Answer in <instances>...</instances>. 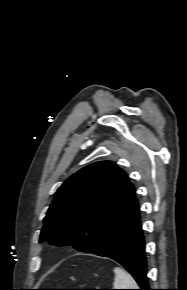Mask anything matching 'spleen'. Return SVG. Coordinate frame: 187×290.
I'll use <instances>...</instances> for the list:
<instances>
[{"instance_id": "obj_1", "label": "spleen", "mask_w": 187, "mask_h": 290, "mask_svg": "<svg viewBox=\"0 0 187 290\" xmlns=\"http://www.w3.org/2000/svg\"><path fill=\"white\" fill-rule=\"evenodd\" d=\"M115 280L114 289H138V285L134 278L121 268H114Z\"/></svg>"}]
</instances>
